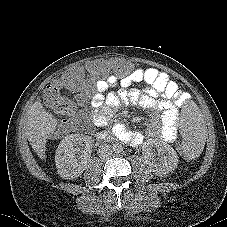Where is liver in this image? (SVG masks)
I'll return each instance as SVG.
<instances>
[{"label":"liver","instance_id":"1","mask_svg":"<svg viewBox=\"0 0 227 227\" xmlns=\"http://www.w3.org/2000/svg\"><path fill=\"white\" fill-rule=\"evenodd\" d=\"M57 119L37 100L27 113L26 135L31 147L44 160L46 142L57 126Z\"/></svg>","mask_w":227,"mask_h":227}]
</instances>
